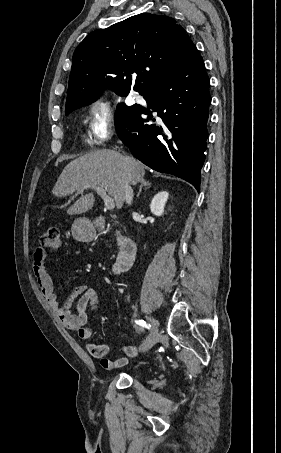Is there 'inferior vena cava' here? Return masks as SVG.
Wrapping results in <instances>:
<instances>
[{"instance_id": "1", "label": "inferior vena cava", "mask_w": 281, "mask_h": 453, "mask_svg": "<svg viewBox=\"0 0 281 453\" xmlns=\"http://www.w3.org/2000/svg\"><path fill=\"white\" fill-rule=\"evenodd\" d=\"M125 200L128 202V204H131L133 200V188L128 184V182H125Z\"/></svg>"}]
</instances>
